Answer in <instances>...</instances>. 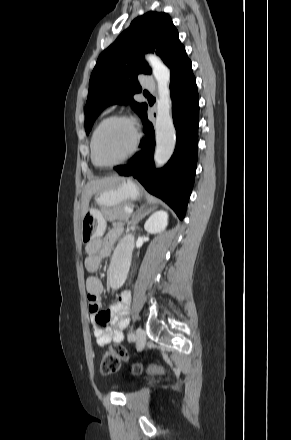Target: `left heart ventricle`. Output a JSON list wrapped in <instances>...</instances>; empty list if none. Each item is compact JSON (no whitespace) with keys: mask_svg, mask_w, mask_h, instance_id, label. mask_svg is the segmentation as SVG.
Wrapping results in <instances>:
<instances>
[{"mask_svg":"<svg viewBox=\"0 0 291 440\" xmlns=\"http://www.w3.org/2000/svg\"><path fill=\"white\" fill-rule=\"evenodd\" d=\"M133 132L124 121H111L105 124L96 138V157L101 163L116 162L123 159L133 144Z\"/></svg>","mask_w":291,"mask_h":440,"instance_id":"obj_1","label":"left heart ventricle"}]
</instances>
